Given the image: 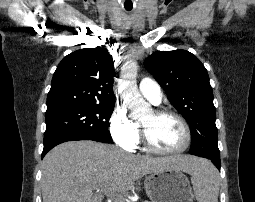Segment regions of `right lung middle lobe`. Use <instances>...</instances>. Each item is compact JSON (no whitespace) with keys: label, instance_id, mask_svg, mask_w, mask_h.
Segmentation results:
<instances>
[{"label":"right lung middle lobe","instance_id":"obj_1","mask_svg":"<svg viewBox=\"0 0 255 202\" xmlns=\"http://www.w3.org/2000/svg\"><path fill=\"white\" fill-rule=\"evenodd\" d=\"M114 104L81 105L46 114L44 138L56 134H77L90 140L110 143L108 121Z\"/></svg>","mask_w":255,"mask_h":202}]
</instances>
